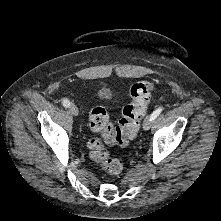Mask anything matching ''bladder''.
Listing matches in <instances>:
<instances>
[{"label":"bladder","instance_id":"bladder-1","mask_svg":"<svg viewBox=\"0 0 221 221\" xmlns=\"http://www.w3.org/2000/svg\"><path fill=\"white\" fill-rule=\"evenodd\" d=\"M103 90H104V88H101V89H100V91H103Z\"/></svg>","mask_w":221,"mask_h":221}]
</instances>
